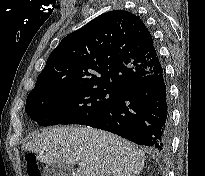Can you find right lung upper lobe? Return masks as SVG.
<instances>
[{
	"label": "right lung upper lobe",
	"instance_id": "cb5924a9",
	"mask_svg": "<svg viewBox=\"0 0 205 176\" xmlns=\"http://www.w3.org/2000/svg\"><path fill=\"white\" fill-rule=\"evenodd\" d=\"M162 69L153 38L142 20L115 10L67 35L49 55L29 95L68 87L121 90Z\"/></svg>",
	"mask_w": 205,
	"mask_h": 176
}]
</instances>
